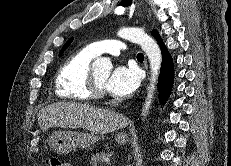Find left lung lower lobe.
<instances>
[{"label":"left lung lower lobe","instance_id":"1","mask_svg":"<svg viewBox=\"0 0 231 166\" xmlns=\"http://www.w3.org/2000/svg\"><path fill=\"white\" fill-rule=\"evenodd\" d=\"M155 38L157 39L162 52V66L160 70L158 90L160 101L163 104V102L168 99L173 86L174 66L173 59L169 54L167 48L165 47L159 34L156 35Z\"/></svg>","mask_w":231,"mask_h":166}]
</instances>
